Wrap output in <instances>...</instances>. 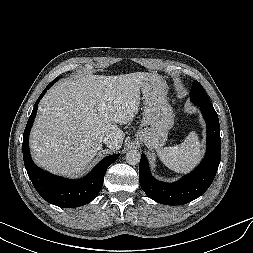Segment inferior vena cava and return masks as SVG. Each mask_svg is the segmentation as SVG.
Here are the masks:
<instances>
[{
  "label": "inferior vena cava",
  "instance_id": "obj_1",
  "mask_svg": "<svg viewBox=\"0 0 253 253\" xmlns=\"http://www.w3.org/2000/svg\"><path fill=\"white\" fill-rule=\"evenodd\" d=\"M102 142H103L104 144H106V145H109V144L112 143V138H110V137H104V138L102 139Z\"/></svg>",
  "mask_w": 253,
  "mask_h": 253
}]
</instances>
